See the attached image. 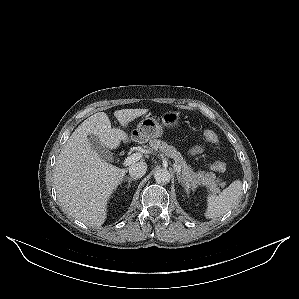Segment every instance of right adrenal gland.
I'll return each instance as SVG.
<instances>
[{"label":"right adrenal gland","instance_id":"obj_1","mask_svg":"<svg viewBox=\"0 0 299 299\" xmlns=\"http://www.w3.org/2000/svg\"><path fill=\"white\" fill-rule=\"evenodd\" d=\"M125 180H128L127 188H129V187H130V183H131L132 181H135L136 178L127 177V178H125Z\"/></svg>","mask_w":299,"mask_h":299}]
</instances>
